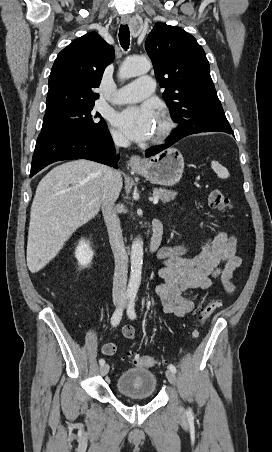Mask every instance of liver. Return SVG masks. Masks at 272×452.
<instances>
[{"label": "liver", "instance_id": "liver-1", "mask_svg": "<svg viewBox=\"0 0 272 452\" xmlns=\"http://www.w3.org/2000/svg\"><path fill=\"white\" fill-rule=\"evenodd\" d=\"M109 168L80 159L53 168L39 182L32 202L27 243V266L44 268L79 227L100 211L104 176ZM122 176L116 183L118 193Z\"/></svg>", "mask_w": 272, "mask_h": 452}]
</instances>
